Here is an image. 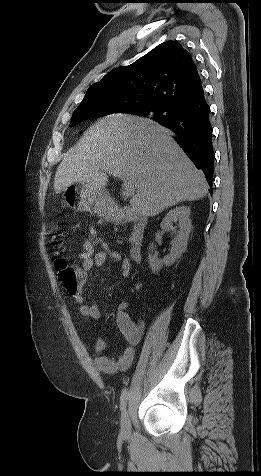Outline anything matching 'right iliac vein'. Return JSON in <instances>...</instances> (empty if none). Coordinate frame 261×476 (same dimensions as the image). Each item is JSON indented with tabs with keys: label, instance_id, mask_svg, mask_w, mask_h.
Instances as JSON below:
<instances>
[{
	"label": "right iliac vein",
	"instance_id": "63e3f726",
	"mask_svg": "<svg viewBox=\"0 0 261 476\" xmlns=\"http://www.w3.org/2000/svg\"><path fill=\"white\" fill-rule=\"evenodd\" d=\"M121 433L125 436H129L131 432L129 413L125 409L121 415Z\"/></svg>",
	"mask_w": 261,
	"mask_h": 476
}]
</instances>
